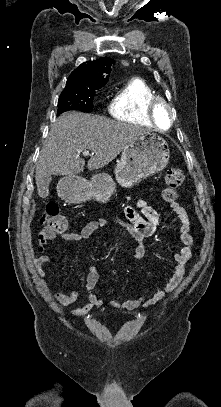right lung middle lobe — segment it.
<instances>
[{
	"mask_svg": "<svg viewBox=\"0 0 221 407\" xmlns=\"http://www.w3.org/2000/svg\"><path fill=\"white\" fill-rule=\"evenodd\" d=\"M94 90L75 89L63 90L58 100V114L68 110H92L95 96Z\"/></svg>",
	"mask_w": 221,
	"mask_h": 407,
	"instance_id": "obj_1",
	"label": "right lung middle lobe"
}]
</instances>
